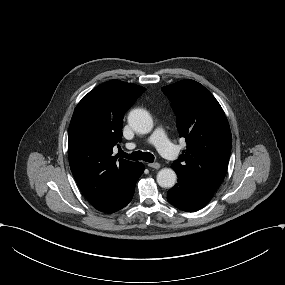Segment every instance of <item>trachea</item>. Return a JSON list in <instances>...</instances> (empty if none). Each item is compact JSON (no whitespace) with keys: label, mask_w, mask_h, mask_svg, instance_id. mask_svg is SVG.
<instances>
[{"label":"trachea","mask_w":285,"mask_h":285,"mask_svg":"<svg viewBox=\"0 0 285 285\" xmlns=\"http://www.w3.org/2000/svg\"><path fill=\"white\" fill-rule=\"evenodd\" d=\"M118 155L119 157H123L130 160H143L149 163H152L154 161V155L150 152L135 151L131 154H127L124 151L119 150Z\"/></svg>","instance_id":"1"}]
</instances>
